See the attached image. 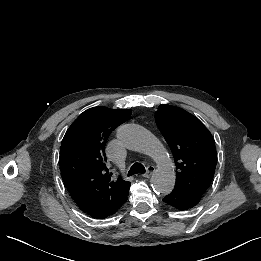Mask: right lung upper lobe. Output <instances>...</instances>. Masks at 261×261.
Masks as SVG:
<instances>
[{"label": "right lung upper lobe", "mask_w": 261, "mask_h": 261, "mask_svg": "<svg viewBox=\"0 0 261 261\" xmlns=\"http://www.w3.org/2000/svg\"><path fill=\"white\" fill-rule=\"evenodd\" d=\"M131 110L97 106L84 111L67 130L60 149L62 179L73 200L89 216L99 219L127 199L130 182L111 179L105 144Z\"/></svg>", "instance_id": "1"}]
</instances>
